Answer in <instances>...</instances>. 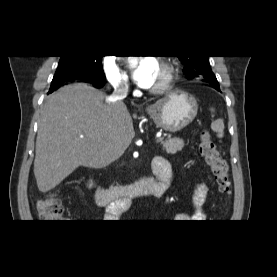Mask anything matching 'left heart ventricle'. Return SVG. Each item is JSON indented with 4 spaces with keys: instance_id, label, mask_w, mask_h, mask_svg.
<instances>
[{
    "instance_id": "left-heart-ventricle-1",
    "label": "left heart ventricle",
    "mask_w": 277,
    "mask_h": 277,
    "mask_svg": "<svg viewBox=\"0 0 277 277\" xmlns=\"http://www.w3.org/2000/svg\"><path fill=\"white\" fill-rule=\"evenodd\" d=\"M163 76H164V71H163V68L161 67V65H159L158 67V70L156 72V76H155V80H154V83H153V86H156L157 84H159L162 79H163Z\"/></svg>"
}]
</instances>
